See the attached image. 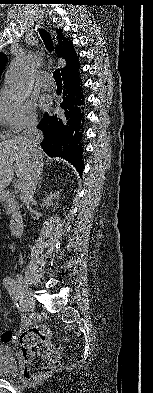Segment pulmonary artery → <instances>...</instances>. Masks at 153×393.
Here are the masks:
<instances>
[{
    "mask_svg": "<svg viewBox=\"0 0 153 393\" xmlns=\"http://www.w3.org/2000/svg\"><path fill=\"white\" fill-rule=\"evenodd\" d=\"M41 84L45 89H50L53 87L52 77L50 75L43 76L41 79Z\"/></svg>",
    "mask_w": 153,
    "mask_h": 393,
    "instance_id": "e3ab8cb5",
    "label": "pulmonary artery"
}]
</instances>
